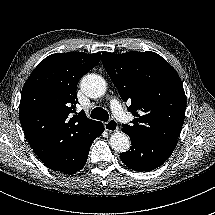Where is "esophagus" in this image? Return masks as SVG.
<instances>
[{
  "mask_svg": "<svg viewBox=\"0 0 215 215\" xmlns=\"http://www.w3.org/2000/svg\"><path fill=\"white\" fill-rule=\"evenodd\" d=\"M104 128L108 132H118V122L115 119H110L104 123Z\"/></svg>",
  "mask_w": 215,
  "mask_h": 215,
  "instance_id": "1",
  "label": "esophagus"
}]
</instances>
